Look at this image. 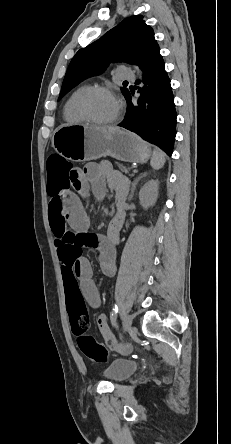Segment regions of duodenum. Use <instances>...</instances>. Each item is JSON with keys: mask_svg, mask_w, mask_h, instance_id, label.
<instances>
[{"mask_svg": "<svg viewBox=\"0 0 231 444\" xmlns=\"http://www.w3.org/2000/svg\"><path fill=\"white\" fill-rule=\"evenodd\" d=\"M118 219V216L116 215L115 217H114V220L116 221Z\"/></svg>", "mask_w": 231, "mask_h": 444, "instance_id": "duodenum-1", "label": "duodenum"}]
</instances>
